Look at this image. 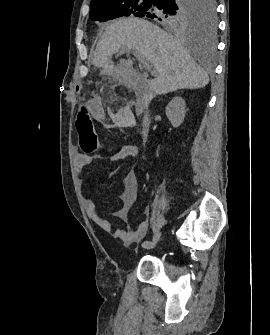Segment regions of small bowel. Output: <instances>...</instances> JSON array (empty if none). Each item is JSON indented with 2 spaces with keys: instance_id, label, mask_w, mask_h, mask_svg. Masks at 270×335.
I'll list each match as a JSON object with an SVG mask.
<instances>
[{
  "instance_id": "1",
  "label": "small bowel",
  "mask_w": 270,
  "mask_h": 335,
  "mask_svg": "<svg viewBox=\"0 0 270 335\" xmlns=\"http://www.w3.org/2000/svg\"><path fill=\"white\" fill-rule=\"evenodd\" d=\"M92 109V114L95 118L101 119L104 114L102 111L94 108L95 100H90L87 103ZM138 155V149L135 145H125L117 153L111 157L112 162L124 160L126 158H135ZM99 156H91L87 154H78L75 160V167L78 174H83L84 170L92 164ZM124 190L121 194L122 208L114 211L112 214L122 220H127L129 211L133 203L136 201L139 193V180L134 169H129L124 176ZM86 211L89 218L103 231L114 234L124 244L130 245L141 241L147 234L149 224L146 220L140 222L133 230H114L112 223L102 218L98 214L96 205L91 200L85 202ZM148 215V212H145Z\"/></svg>"
}]
</instances>
